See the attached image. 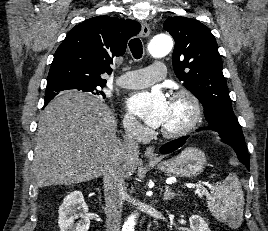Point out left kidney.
Wrapping results in <instances>:
<instances>
[{
    "label": "left kidney",
    "mask_w": 268,
    "mask_h": 231,
    "mask_svg": "<svg viewBox=\"0 0 268 231\" xmlns=\"http://www.w3.org/2000/svg\"><path fill=\"white\" fill-rule=\"evenodd\" d=\"M191 231H211L205 220L199 215H192L189 218Z\"/></svg>",
    "instance_id": "1"
}]
</instances>
